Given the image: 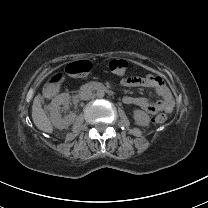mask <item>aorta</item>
I'll list each match as a JSON object with an SVG mask.
<instances>
[{"instance_id": "1", "label": "aorta", "mask_w": 208, "mask_h": 208, "mask_svg": "<svg viewBox=\"0 0 208 208\" xmlns=\"http://www.w3.org/2000/svg\"><path fill=\"white\" fill-rule=\"evenodd\" d=\"M104 95H105V93H104L103 90H98V91L96 92V96H97L98 98H103Z\"/></svg>"}]
</instances>
